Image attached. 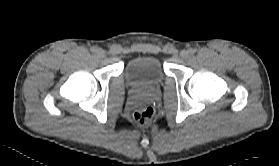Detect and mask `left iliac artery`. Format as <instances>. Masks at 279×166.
I'll return each instance as SVG.
<instances>
[{
    "label": "left iliac artery",
    "instance_id": "44dca946",
    "mask_svg": "<svg viewBox=\"0 0 279 166\" xmlns=\"http://www.w3.org/2000/svg\"><path fill=\"white\" fill-rule=\"evenodd\" d=\"M189 52H190V54H194L196 52V49L191 48V49H189Z\"/></svg>",
    "mask_w": 279,
    "mask_h": 166
}]
</instances>
